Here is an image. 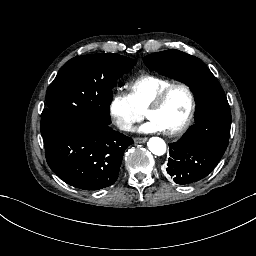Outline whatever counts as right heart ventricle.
I'll return each instance as SVG.
<instances>
[{
  "instance_id": "right-heart-ventricle-1",
  "label": "right heart ventricle",
  "mask_w": 256,
  "mask_h": 256,
  "mask_svg": "<svg viewBox=\"0 0 256 256\" xmlns=\"http://www.w3.org/2000/svg\"><path fill=\"white\" fill-rule=\"evenodd\" d=\"M168 86V82H153L134 88L132 97L137 100L138 109H147Z\"/></svg>"
}]
</instances>
